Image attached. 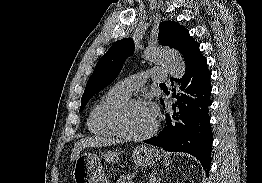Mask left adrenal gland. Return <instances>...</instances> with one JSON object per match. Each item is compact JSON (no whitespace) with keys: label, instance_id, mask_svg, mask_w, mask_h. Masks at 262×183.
<instances>
[{"label":"left adrenal gland","instance_id":"obj_1","mask_svg":"<svg viewBox=\"0 0 262 183\" xmlns=\"http://www.w3.org/2000/svg\"><path fill=\"white\" fill-rule=\"evenodd\" d=\"M150 183H157V178L155 177L154 173L151 174Z\"/></svg>","mask_w":262,"mask_h":183}]
</instances>
